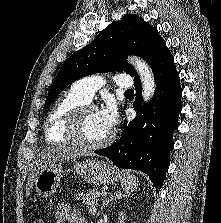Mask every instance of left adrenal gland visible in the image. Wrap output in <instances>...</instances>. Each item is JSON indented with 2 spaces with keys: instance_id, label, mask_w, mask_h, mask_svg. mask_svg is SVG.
Here are the masks:
<instances>
[{
  "instance_id": "left-adrenal-gland-1",
  "label": "left adrenal gland",
  "mask_w": 221,
  "mask_h": 223,
  "mask_svg": "<svg viewBox=\"0 0 221 223\" xmlns=\"http://www.w3.org/2000/svg\"><path fill=\"white\" fill-rule=\"evenodd\" d=\"M128 196H129L128 193L127 194H122L121 192H115L114 195L110 196V198L106 199L103 202V204H102L99 212L97 213V216H99V214H101L103 208H105V206H108L111 201L120 200V199L125 198V197H128Z\"/></svg>"
}]
</instances>
